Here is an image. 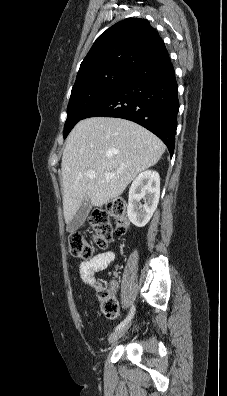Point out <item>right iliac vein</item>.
Here are the masks:
<instances>
[{"label": "right iliac vein", "mask_w": 227, "mask_h": 396, "mask_svg": "<svg viewBox=\"0 0 227 396\" xmlns=\"http://www.w3.org/2000/svg\"><path fill=\"white\" fill-rule=\"evenodd\" d=\"M128 327L129 326L126 325V326L122 327L121 329H118L115 332H113L108 338L109 344H112V343L116 342L119 338H121L127 331Z\"/></svg>", "instance_id": "1"}]
</instances>
